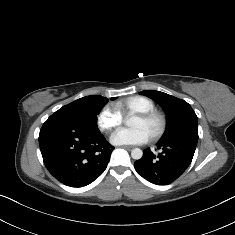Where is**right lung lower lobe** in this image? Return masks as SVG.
I'll return each instance as SVG.
<instances>
[{
    "instance_id": "right-lung-lower-lobe-1",
    "label": "right lung lower lobe",
    "mask_w": 235,
    "mask_h": 235,
    "mask_svg": "<svg viewBox=\"0 0 235 235\" xmlns=\"http://www.w3.org/2000/svg\"><path fill=\"white\" fill-rule=\"evenodd\" d=\"M39 145L50 174L71 187L86 186L98 178L114 149L98 129L51 116L40 130Z\"/></svg>"
}]
</instances>
